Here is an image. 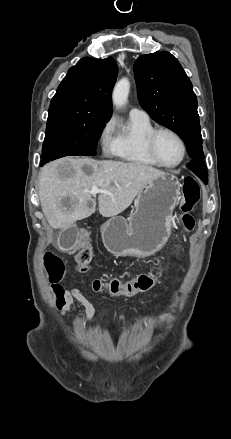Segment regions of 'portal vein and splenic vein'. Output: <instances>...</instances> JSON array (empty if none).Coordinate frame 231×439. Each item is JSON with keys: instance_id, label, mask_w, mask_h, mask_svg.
<instances>
[{"instance_id": "portal-vein-and-splenic-vein-1", "label": "portal vein and splenic vein", "mask_w": 231, "mask_h": 439, "mask_svg": "<svg viewBox=\"0 0 231 439\" xmlns=\"http://www.w3.org/2000/svg\"><path fill=\"white\" fill-rule=\"evenodd\" d=\"M91 194H97V193H104V194H111L109 191L101 190L97 186H93L90 190Z\"/></svg>"}]
</instances>
